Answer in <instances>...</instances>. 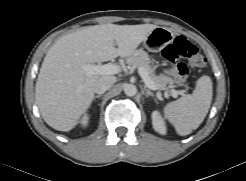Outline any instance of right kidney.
<instances>
[{
    "label": "right kidney",
    "instance_id": "1",
    "mask_svg": "<svg viewBox=\"0 0 246 181\" xmlns=\"http://www.w3.org/2000/svg\"><path fill=\"white\" fill-rule=\"evenodd\" d=\"M80 123L82 124V126H86L88 123V116L85 115L82 120L80 121Z\"/></svg>",
    "mask_w": 246,
    "mask_h": 181
}]
</instances>
